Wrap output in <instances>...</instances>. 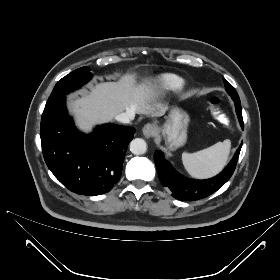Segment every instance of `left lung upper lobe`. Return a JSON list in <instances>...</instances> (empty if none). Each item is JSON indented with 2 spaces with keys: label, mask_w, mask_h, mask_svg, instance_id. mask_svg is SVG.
Wrapping results in <instances>:
<instances>
[{
  "label": "left lung upper lobe",
  "mask_w": 280,
  "mask_h": 280,
  "mask_svg": "<svg viewBox=\"0 0 280 280\" xmlns=\"http://www.w3.org/2000/svg\"><path fill=\"white\" fill-rule=\"evenodd\" d=\"M224 84H225V87H226V91L232 97V99L240 101L239 96H238L235 88L226 80H224Z\"/></svg>",
  "instance_id": "1"
}]
</instances>
